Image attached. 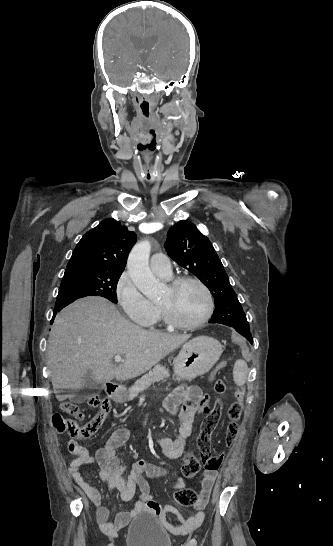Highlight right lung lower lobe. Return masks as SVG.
<instances>
[{
  "instance_id": "98d812e1",
  "label": "right lung lower lobe",
  "mask_w": 333,
  "mask_h": 546,
  "mask_svg": "<svg viewBox=\"0 0 333 546\" xmlns=\"http://www.w3.org/2000/svg\"><path fill=\"white\" fill-rule=\"evenodd\" d=\"M60 310H57V311H54V314H56L57 312H59ZM55 315L53 316V319H54ZM53 319L51 321V323H53Z\"/></svg>"
}]
</instances>
